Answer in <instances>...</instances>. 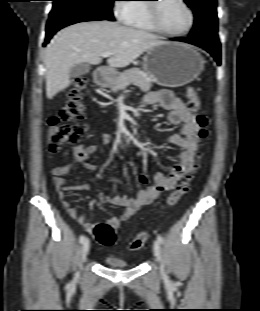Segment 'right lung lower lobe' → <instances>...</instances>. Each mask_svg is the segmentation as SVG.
<instances>
[{"label": "right lung lower lobe", "mask_w": 260, "mask_h": 311, "mask_svg": "<svg viewBox=\"0 0 260 311\" xmlns=\"http://www.w3.org/2000/svg\"><path fill=\"white\" fill-rule=\"evenodd\" d=\"M96 20H107V19L94 15H87L73 12H60L57 14H50L46 27V38L44 46L49 42L50 38L61 28L78 22L96 21Z\"/></svg>", "instance_id": "right-lung-lower-lobe-1"}]
</instances>
